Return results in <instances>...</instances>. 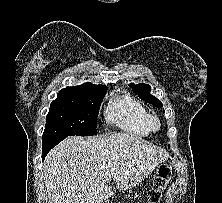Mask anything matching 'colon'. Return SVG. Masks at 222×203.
Listing matches in <instances>:
<instances>
[{"label": "colon", "mask_w": 222, "mask_h": 203, "mask_svg": "<svg viewBox=\"0 0 222 203\" xmlns=\"http://www.w3.org/2000/svg\"><path fill=\"white\" fill-rule=\"evenodd\" d=\"M171 173L172 170L168 165H163L158 169L153 179L152 187L149 191L151 203H159L162 193L171 177Z\"/></svg>", "instance_id": "obj_1"}]
</instances>
